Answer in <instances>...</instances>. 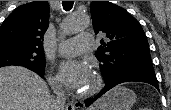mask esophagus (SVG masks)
I'll list each match as a JSON object with an SVG mask.
<instances>
[{"mask_svg": "<svg viewBox=\"0 0 171 110\" xmlns=\"http://www.w3.org/2000/svg\"><path fill=\"white\" fill-rule=\"evenodd\" d=\"M66 110H75V104L74 103H70L66 106Z\"/></svg>", "mask_w": 171, "mask_h": 110, "instance_id": "1", "label": "esophagus"}]
</instances>
